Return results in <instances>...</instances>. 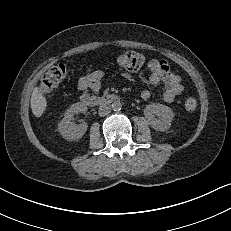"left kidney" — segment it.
<instances>
[{
  "label": "left kidney",
  "mask_w": 231,
  "mask_h": 231,
  "mask_svg": "<svg viewBox=\"0 0 231 231\" xmlns=\"http://www.w3.org/2000/svg\"><path fill=\"white\" fill-rule=\"evenodd\" d=\"M144 115L149 125L157 131H166L171 126L173 111L166 105L152 103L145 107Z\"/></svg>",
  "instance_id": "1"
}]
</instances>
